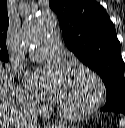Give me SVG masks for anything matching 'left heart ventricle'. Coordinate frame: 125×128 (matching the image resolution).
Instances as JSON below:
<instances>
[{
  "mask_svg": "<svg viewBox=\"0 0 125 128\" xmlns=\"http://www.w3.org/2000/svg\"><path fill=\"white\" fill-rule=\"evenodd\" d=\"M96 97V86L86 76L68 75L67 82L58 105L66 110H79L90 105Z\"/></svg>",
  "mask_w": 125,
  "mask_h": 128,
  "instance_id": "left-heart-ventricle-1",
  "label": "left heart ventricle"
}]
</instances>
